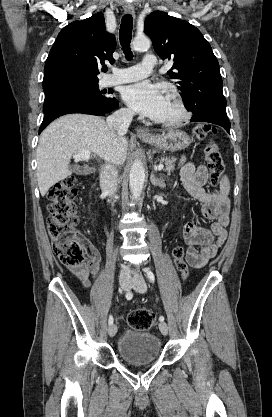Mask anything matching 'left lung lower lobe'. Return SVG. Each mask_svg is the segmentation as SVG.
I'll return each instance as SVG.
<instances>
[{
  "mask_svg": "<svg viewBox=\"0 0 272 417\" xmlns=\"http://www.w3.org/2000/svg\"><path fill=\"white\" fill-rule=\"evenodd\" d=\"M191 121H199V122H209L213 124H217L222 126L228 133H230V122L228 120L219 118V117H213L210 115H204V116H197L193 115L191 118Z\"/></svg>",
  "mask_w": 272,
  "mask_h": 417,
  "instance_id": "1",
  "label": "left lung lower lobe"
}]
</instances>
